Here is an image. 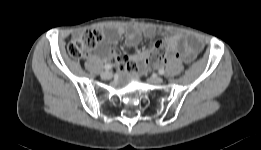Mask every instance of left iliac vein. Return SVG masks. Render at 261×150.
Listing matches in <instances>:
<instances>
[{
	"label": "left iliac vein",
	"mask_w": 261,
	"mask_h": 150,
	"mask_svg": "<svg viewBox=\"0 0 261 150\" xmlns=\"http://www.w3.org/2000/svg\"><path fill=\"white\" fill-rule=\"evenodd\" d=\"M150 82L153 84H161L163 82V79L159 76H152L150 78Z\"/></svg>",
	"instance_id": "1"
}]
</instances>
